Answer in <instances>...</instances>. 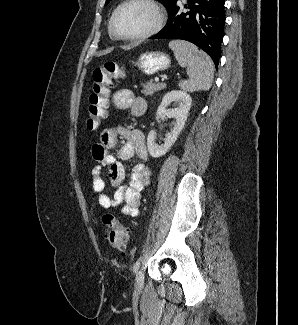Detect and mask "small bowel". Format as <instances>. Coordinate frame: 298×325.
<instances>
[{
	"mask_svg": "<svg viewBox=\"0 0 298 325\" xmlns=\"http://www.w3.org/2000/svg\"><path fill=\"white\" fill-rule=\"evenodd\" d=\"M113 103L118 109H130L132 115L139 116L145 112L144 100L136 98L132 91L121 89L113 95ZM122 137L126 143L120 147L117 156L109 150L117 145ZM92 158L95 166L92 169L93 190L98 193V201L102 208L119 207L122 214L137 216L141 204V192L150 182V171L146 165L148 151L145 136L138 129L110 127L102 131L100 142L92 147ZM136 158L127 184H123L125 172L121 161ZM107 173L110 183L115 189L112 196L104 193L103 173Z\"/></svg>",
	"mask_w": 298,
	"mask_h": 325,
	"instance_id": "1",
	"label": "small bowel"
}]
</instances>
